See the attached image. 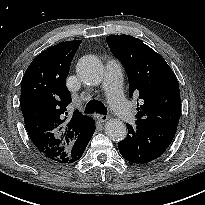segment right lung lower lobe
<instances>
[{
  "label": "right lung lower lobe",
  "instance_id": "98d812e1",
  "mask_svg": "<svg viewBox=\"0 0 205 205\" xmlns=\"http://www.w3.org/2000/svg\"><path fill=\"white\" fill-rule=\"evenodd\" d=\"M94 131H95V122L91 119L90 126L82 134H80L71 145L69 149V156H68L69 159L67 163L75 162L82 156Z\"/></svg>",
  "mask_w": 205,
  "mask_h": 205
}]
</instances>
